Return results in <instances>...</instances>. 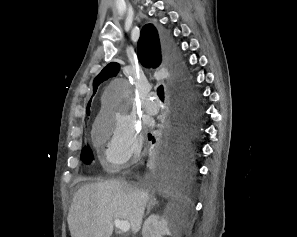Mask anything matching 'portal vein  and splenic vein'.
<instances>
[{
	"label": "portal vein and splenic vein",
	"mask_w": 297,
	"mask_h": 237,
	"mask_svg": "<svg viewBox=\"0 0 297 237\" xmlns=\"http://www.w3.org/2000/svg\"><path fill=\"white\" fill-rule=\"evenodd\" d=\"M114 225L122 232H128L130 230V223L126 220L115 219Z\"/></svg>",
	"instance_id": "obj_1"
}]
</instances>
